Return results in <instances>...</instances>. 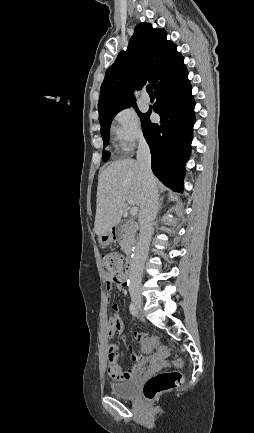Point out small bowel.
I'll return each mask as SVG.
<instances>
[{"instance_id":"obj_1","label":"small bowel","mask_w":254,"mask_h":433,"mask_svg":"<svg viewBox=\"0 0 254 433\" xmlns=\"http://www.w3.org/2000/svg\"><path fill=\"white\" fill-rule=\"evenodd\" d=\"M127 281H119V282H107V289L111 290L113 286H116L117 289L123 290L126 287ZM123 329V325L120 318L119 308L117 305L113 306V312L110 316V319L107 322L106 330L109 337L114 336L117 333H120ZM133 338L139 342H145L146 337L139 331L133 332ZM118 346L115 343H108L106 345L107 359H108V375L111 379L115 381H124L133 378L137 373L141 370L145 357L143 355L137 354L132 347L129 348V354L133 361L132 366L124 370L122 369L117 361L119 358L118 355ZM161 363L160 359H152V365H159Z\"/></svg>"}]
</instances>
